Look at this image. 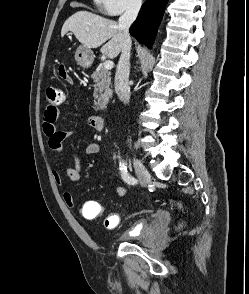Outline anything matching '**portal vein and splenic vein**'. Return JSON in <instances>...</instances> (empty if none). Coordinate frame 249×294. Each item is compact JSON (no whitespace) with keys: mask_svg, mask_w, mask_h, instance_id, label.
<instances>
[{"mask_svg":"<svg viewBox=\"0 0 249 294\" xmlns=\"http://www.w3.org/2000/svg\"><path fill=\"white\" fill-rule=\"evenodd\" d=\"M113 65H114V63H113V61H111V60H106L105 62H104V67L106 68V69H112L113 68Z\"/></svg>","mask_w":249,"mask_h":294,"instance_id":"obj_1","label":"portal vein and splenic vein"}]
</instances>
